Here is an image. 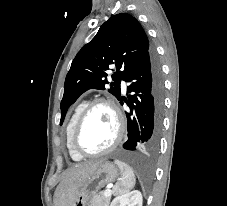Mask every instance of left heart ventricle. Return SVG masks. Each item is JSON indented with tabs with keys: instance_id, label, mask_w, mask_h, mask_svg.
<instances>
[{
	"instance_id": "1",
	"label": "left heart ventricle",
	"mask_w": 227,
	"mask_h": 206,
	"mask_svg": "<svg viewBox=\"0 0 227 206\" xmlns=\"http://www.w3.org/2000/svg\"><path fill=\"white\" fill-rule=\"evenodd\" d=\"M116 133L117 124L112 110L106 105H98L86 117L78 142L85 151L98 152L113 142Z\"/></svg>"
}]
</instances>
